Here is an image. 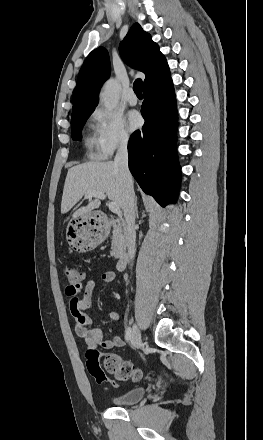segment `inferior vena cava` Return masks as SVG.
<instances>
[{
    "instance_id": "1",
    "label": "inferior vena cava",
    "mask_w": 263,
    "mask_h": 440,
    "mask_svg": "<svg viewBox=\"0 0 263 440\" xmlns=\"http://www.w3.org/2000/svg\"><path fill=\"white\" fill-rule=\"evenodd\" d=\"M128 137H123L120 141L114 164L119 168L122 179V205L126 220V241L128 255L132 260L135 256V193L133 189L132 175L128 168Z\"/></svg>"
}]
</instances>
